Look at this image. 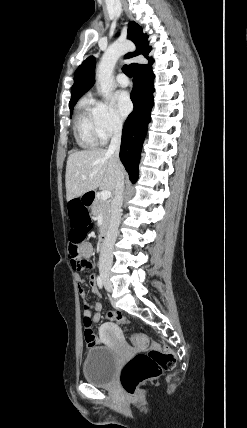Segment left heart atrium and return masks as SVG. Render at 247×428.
<instances>
[{"label": "left heart atrium", "mask_w": 247, "mask_h": 428, "mask_svg": "<svg viewBox=\"0 0 247 428\" xmlns=\"http://www.w3.org/2000/svg\"><path fill=\"white\" fill-rule=\"evenodd\" d=\"M114 100L118 114L122 118L126 117L132 109L129 95L124 91H120L115 94Z\"/></svg>", "instance_id": "1"}]
</instances>
